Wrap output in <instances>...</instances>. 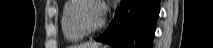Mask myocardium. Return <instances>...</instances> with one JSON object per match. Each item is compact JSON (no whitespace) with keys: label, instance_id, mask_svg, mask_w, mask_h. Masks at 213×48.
Wrapping results in <instances>:
<instances>
[{"label":"myocardium","instance_id":"obj_1","mask_svg":"<svg viewBox=\"0 0 213 48\" xmlns=\"http://www.w3.org/2000/svg\"><path fill=\"white\" fill-rule=\"evenodd\" d=\"M86 3H95V4L99 5L98 1H95V0H77L76 4L74 5L72 12H71V19H72L74 25L85 36L99 32L105 24V17L103 16L102 13H101L102 14L101 20L97 26L90 28V27H87L83 23L80 15H79V12Z\"/></svg>","mask_w":213,"mask_h":48}]
</instances>
